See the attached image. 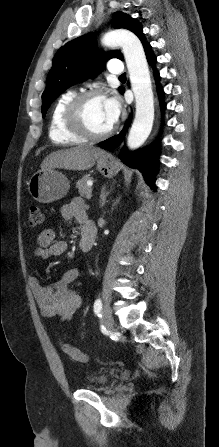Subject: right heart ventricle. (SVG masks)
<instances>
[{
  "instance_id": "right-heart-ventricle-1",
  "label": "right heart ventricle",
  "mask_w": 219,
  "mask_h": 447,
  "mask_svg": "<svg viewBox=\"0 0 219 447\" xmlns=\"http://www.w3.org/2000/svg\"><path fill=\"white\" fill-rule=\"evenodd\" d=\"M74 96L75 92L73 91L64 93L59 97L51 110L48 135L50 140L55 144L73 145L83 143L86 140L70 131L64 123V111Z\"/></svg>"
}]
</instances>
